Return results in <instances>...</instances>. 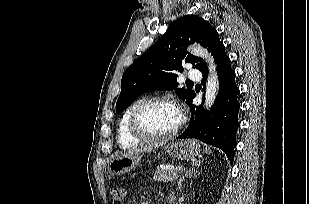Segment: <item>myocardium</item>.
<instances>
[{"instance_id":"f54148a6","label":"myocardium","mask_w":309,"mask_h":204,"mask_svg":"<svg viewBox=\"0 0 309 204\" xmlns=\"http://www.w3.org/2000/svg\"><path fill=\"white\" fill-rule=\"evenodd\" d=\"M156 104H164L174 107L179 112V122L178 124L169 132L165 134H152L147 132L140 124V116L145 109L152 105ZM184 114L178 104L173 100L166 98V97H157V98H149L142 100L132 111L130 118H129V131L131 134L143 141H161L169 139L175 136L183 127L184 125Z\"/></svg>"}]
</instances>
